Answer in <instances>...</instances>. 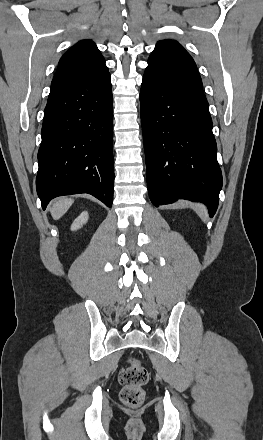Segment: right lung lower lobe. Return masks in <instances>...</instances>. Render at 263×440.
Instances as JSON below:
<instances>
[{
  "mask_svg": "<svg viewBox=\"0 0 263 440\" xmlns=\"http://www.w3.org/2000/svg\"><path fill=\"white\" fill-rule=\"evenodd\" d=\"M113 103L108 71L50 93L36 178L45 209L57 196L89 193L112 206Z\"/></svg>",
  "mask_w": 263,
  "mask_h": 440,
  "instance_id": "1",
  "label": "right lung lower lobe"
}]
</instances>
